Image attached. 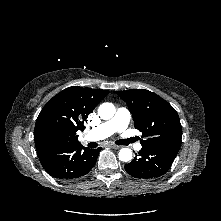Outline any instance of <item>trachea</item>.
<instances>
[{
    "instance_id": "obj_1",
    "label": "trachea",
    "mask_w": 221,
    "mask_h": 221,
    "mask_svg": "<svg viewBox=\"0 0 221 221\" xmlns=\"http://www.w3.org/2000/svg\"><path fill=\"white\" fill-rule=\"evenodd\" d=\"M132 141H133L132 138H130V139H122V140L116 141V144L127 145V144L131 143Z\"/></svg>"
}]
</instances>
